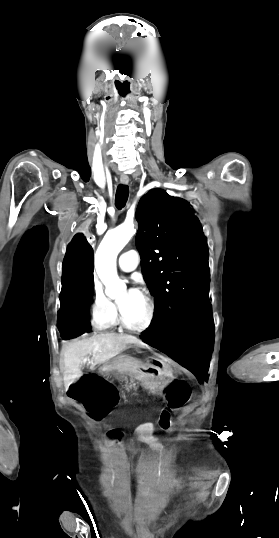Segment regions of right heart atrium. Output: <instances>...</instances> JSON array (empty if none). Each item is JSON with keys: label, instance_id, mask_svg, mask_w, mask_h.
<instances>
[{"label": "right heart atrium", "instance_id": "1", "mask_svg": "<svg viewBox=\"0 0 279 538\" xmlns=\"http://www.w3.org/2000/svg\"><path fill=\"white\" fill-rule=\"evenodd\" d=\"M93 294L92 324L97 329H103L110 325L116 312V304L105 294L96 275L93 277Z\"/></svg>", "mask_w": 279, "mask_h": 538}]
</instances>
